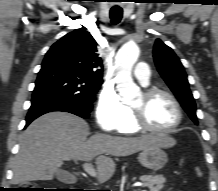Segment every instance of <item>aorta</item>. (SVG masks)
<instances>
[{
    "mask_svg": "<svg viewBox=\"0 0 218 191\" xmlns=\"http://www.w3.org/2000/svg\"><path fill=\"white\" fill-rule=\"evenodd\" d=\"M139 57V48L134 42L124 44L118 51L116 59V83L121 100L131 104L139 96L140 88L134 83L131 71Z\"/></svg>",
    "mask_w": 218,
    "mask_h": 191,
    "instance_id": "obj_1",
    "label": "aorta"
}]
</instances>
